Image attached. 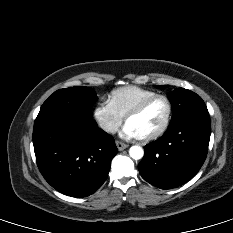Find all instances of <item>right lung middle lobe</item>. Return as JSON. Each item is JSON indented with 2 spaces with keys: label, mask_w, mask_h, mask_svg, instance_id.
Listing matches in <instances>:
<instances>
[{
  "label": "right lung middle lobe",
  "mask_w": 233,
  "mask_h": 233,
  "mask_svg": "<svg viewBox=\"0 0 233 233\" xmlns=\"http://www.w3.org/2000/svg\"><path fill=\"white\" fill-rule=\"evenodd\" d=\"M96 93L89 87L79 86L55 91L41 106L38 115L50 111H71L92 117Z\"/></svg>",
  "instance_id": "right-lung-middle-lobe-1"
}]
</instances>
